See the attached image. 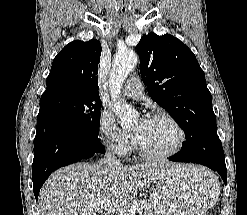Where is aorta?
<instances>
[{
  "instance_id": "762f6f07",
  "label": "aorta",
  "mask_w": 247,
  "mask_h": 215,
  "mask_svg": "<svg viewBox=\"0 0 247 215\" xmlns=\"http://www.w3.org/2000/svg\"><path fill=\"white\" fill-rule=\"evenodd\" d=\"M138 58L133 52L118 53L112 64L109 87L112 96V110L120 119L122 127H129L138 117V112L131 108L128 104L120 100L122 85L128 74L137 64Z\"/></svg>"
}]
</instances>
